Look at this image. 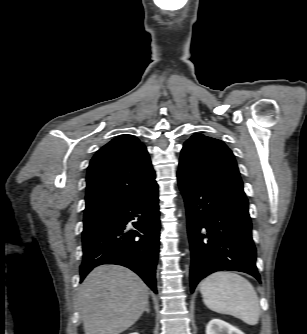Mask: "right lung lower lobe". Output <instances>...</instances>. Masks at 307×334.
I'll return each mask as SVG.
<instances>
[{"label":"right lung lower lobe","mask_w":307,"mask_h":334,"mask_svg":"<svg viewBox=\"0 0 307 334\" xmlns=\"http://www.w3.org/2000/svg\"><path fill=\"white\" fill-rule=\"evenodd\" d=\"M133 223L135 230H127ZM158 185L155 182L123 205L82 237L83 261L80 282L96 266L117 264L136 272L155 292V269L159 251ZM139 237V238H137Z\"/></svg>","instance_id":"right-lung-lower-lobe-1"}]
</instances>
